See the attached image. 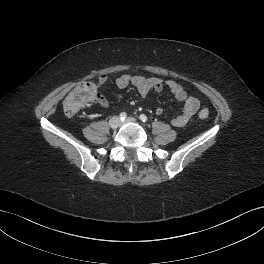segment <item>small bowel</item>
Masks as SVG:
<instances>
[{
    "label": "small bowel",
    "mask_w": 264,
    "mask_h": 264,
    "mask_svg": "<svg viewBox=\"0 0 264 264\" xmlns=\"http://www.w3.org/2000/svg\"><path fill=\"white\" fill-rule=\"evenodd\" d=\"M110 83L107 76L102 75L98 79V86L105 89ZM115 84L124 89L128 86H133L137 89L141 96H147L151 91L161 92L167 89L176 100L184 103V108L181 114L171 119V124L174 127H183L200 109L201 102L198 98L189 96L185 89L174 80H164L160 77H144L138 75L123 74L115 79ZM95 101L104 108H108L109 103L104 95L97 92ZM157 115L163 113V109L158 107L155 110Z\"/></svg>",
    "instance_id": "small-bowel-1"
}]
</instances>
